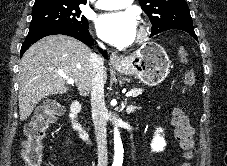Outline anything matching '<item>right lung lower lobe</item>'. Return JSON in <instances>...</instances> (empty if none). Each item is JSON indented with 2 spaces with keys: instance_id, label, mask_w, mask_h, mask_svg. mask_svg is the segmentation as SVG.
<instances>
[{
  "instance_id": "1",
  "label": "right lung lower lobe",
  "mask_w": 227,
  "mask_h": 166,
  "mask_svg": "<svg viewBox=\"0 0 227 166\" xmlns=\"http://www.w3.org/2000/svg\"><path fill=\"white\" fill-rule=\"evenodd\" d=\"M55 34H63V35H68V36L74 37L87 45L93 44V39L90 36L88 29H76V28H68V27H51V28H46V29L40 30L36 33L28 34L21 47V51H20L21 56L32 44H34L39 39L49 36V35H55ZM102 54L104 57H107L106 51H102Z\"/></svg>"
}]
</instances>
